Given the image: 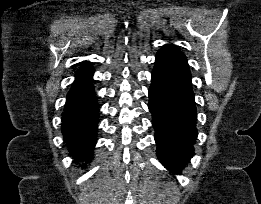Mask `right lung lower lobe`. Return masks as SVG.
Returning <instances> with one entry per match:
<instances>
[{"mask_svg": "<svg viewBox=\"0 0 261 204\" xmlns=\"http://www.w3.org/2000/svg\"><path fill=\"white\" fill-rule=\"evenodd\" d=\"M93 69L89 62L75 74L62 114V131L73 157L89 162L96 144L99 105L94 91ZM84 164L83 166H85Z\"/></svg>", "mask_w": 261, "mask_h": 204, "instance_id": "obj_1", "label": "right lung lower lobe"}]
</instances>
